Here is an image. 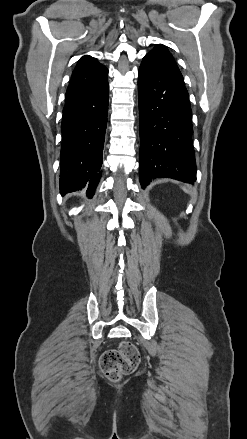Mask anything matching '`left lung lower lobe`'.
<instances>
[{"mask_svg":"<svg viewBox=\"0 0 247 439\" xmlns=\"http://www.w3.org/2000/svg\"><path fill=\"white\" fill-rule=\"evenodd\" d=\"M138 94L142 188L159 177L193 183L196 165L191 142L192 111L184 82L143 59L138 71Z\"/></svg>","mask_w":247,"mask_h":439,"instance_id":"left-lung-lower-lobe-1","label":"left lung lower lobe"}]
</instances>
